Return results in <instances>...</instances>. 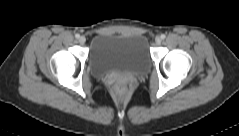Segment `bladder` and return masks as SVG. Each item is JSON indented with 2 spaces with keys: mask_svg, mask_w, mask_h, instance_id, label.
Instances as JSON below:
<instances>
[{
  "mask_svg": "<svg viewBox=\"0 0 239 136\" xmlns=\"http://www.w3.org/2000/svg\"><path fill=\"white\" fill-rule=\"evenodd\" d=\"M150 61L149 44L142 35L102 32L91 41L89 63L97 75L141 73Z\"/></svg>",
  "mask_w": 239,
  "mask_h": 136,
  "instance_id": "31cf9c89",
  "label": "bladder"
}]
</instances>
